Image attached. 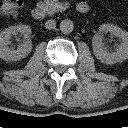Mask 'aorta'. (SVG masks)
I'll use <instances>...</instances> for the list:
<instances>
[{
    "instance_id": "762f6f07",
    "label": "aorta",
    "mask_w": 128,
    "mask_h": 128,
    "mask_svg": "<svg viewBox=\"0 0 128 128\" xmlns=\"http://www.w3.org/2000/svg\"><path fill=\"white\" fill-rule=\"evenodd\" d=\"M74 29V24L71 20L65 19L60 23V30L64 34H70Z\"/></svg>"
}]
</instances>
